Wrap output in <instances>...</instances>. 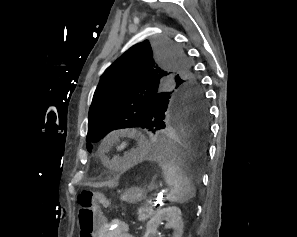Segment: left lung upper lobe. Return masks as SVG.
<instances>
[{
    "label": "left lung upper lobe",
    "instance_id": "1",
    "mask_svg": "<svg viewBox=\"0 0 297 237\" xmlns=\"http://www.w3.org/2000/svg\"><path fill=\"white\" fill-rule=\"evenodd\" d=\"M178 100L206 105L185 53L163 38L132 46L101 76L89 109L88 151L114 129L154 133Z\"/></svg>",
    "mask_w": 297,
    "mask_h": 237
}]
</instances>
